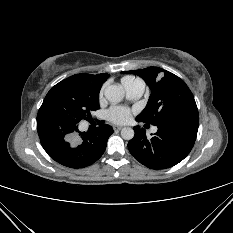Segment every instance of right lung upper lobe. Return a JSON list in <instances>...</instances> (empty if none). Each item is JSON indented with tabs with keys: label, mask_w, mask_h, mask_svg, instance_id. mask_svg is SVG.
I'll return each instance as SVG.
<instances>
[{
	"label": "right lung upper lobe",
	"mask_w": 233,
	"mask_h": 233,
	"mask_svg": "<svg viewBox=\"0 0 233 233\" xmlns=\"http://www.w3.org/2000/svg\"><path fill=\"white\" fill-rule=\"evenodd\" d=\"M75 76L82 78L88 82H90L93 85H96L101 88L102 84L107 80V78L110 76L107 73L104 74H98V75H92V74H76Z\"/></svg>",
	"instance_id": "obj_1"
}]
</instances>
